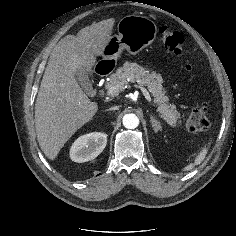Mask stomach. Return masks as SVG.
Returning <instances> with one entry per match:
<instances>
[{"label":"stomach","instance_id":"1","mask_svg":"<svg viewBox=\"0 0 236 236\" xmlns=\"http://www.w3.org/2000/svg\"><path fill=\"white\" fill-rule=\"evenodd\" d=\"M118 34L111 36L103 49L102 61L115 64L123 50L136 55L156 38L155 23L144 16L128 15L117 25Z\"/></svg>","mask_w":236,"mask_h":236}]
</instances>
